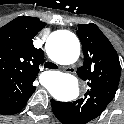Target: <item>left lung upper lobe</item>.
Segmentation results:
<instances>
[{"label":"left lung upper lobe","mask_w":124,"mask_h":124,"mask_svg":"<svg viewBox=\"0 0 124 124\" xmlns=\"http://www.w3.org/2000/svg\"><path fill=\"white\" fill-rule=\"evenodd\" d=\"M83 47L84 64L77 69L89 89L83 98L63 102L69 124H87L112 101L118 88L121 67L116 50L95 24H80L76 31Z\"/></svg>","instance_id":"obj_1"}]
</instances>
